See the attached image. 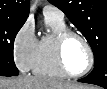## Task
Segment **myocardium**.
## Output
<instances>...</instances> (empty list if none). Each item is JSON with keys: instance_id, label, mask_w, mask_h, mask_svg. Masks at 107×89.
Returning <instances> with one entry per match:
<instances>
[{"instance_id": "f54148a6", "label": "myocardium", "mask_w": 107, "mask_h": 89, "mask_svg": "<svg viewBox=\"0 0 107 89\" xmlns=\"http://www.w3.org/2000/svg\"><path fill=\"white\" fill-rule=\"evenodd\" d=\"M71 37H76L78 39H80L83 44L85 45L88 55H89V62L88 65L86 67V69L80 73H71L65 63V59H64V48H65V44L67 42V40ZM54 50H55V57L57 60V63L60 67V69L63 71V73L70 78H79L82 77L84 75H86L87 73H89L91 71V69L94 66V52L93 49L89 43V41L86 39V37L74 30L71 29H65L59 33L56 34L55 39H54Z\"/></svg>"}]
</instances>
